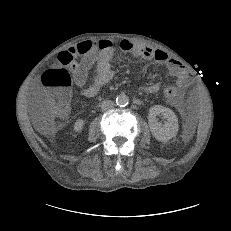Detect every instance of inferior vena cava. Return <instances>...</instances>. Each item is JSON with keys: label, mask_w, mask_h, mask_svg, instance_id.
Instances as JSON below:
<instances>
[{"label": "inferior vena cava", "mask_w": 231, "mask_h": 231, "mask_svg": "<svg viewBox=\"0 0 231 231\" xmlns=\"http://www.w3.org/2000/svg\"><path fill=\"white\" fill-rule=\"evenodd\" d=\"M113 106H114V102L111 100H104L101 102V105H100L103 111L109 110L113 108Z\"/></svg>", "instance_id": "602c4592"}]
</instances>
